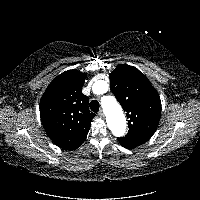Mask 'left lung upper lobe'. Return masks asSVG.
Listing matches in <instances>:
<instances>
[{
    "label": "left lung upper lobe",
    "mask_w": 200,
    "mask_h": 200,
    "mask_svg": "<svg viewBox=\"0 0 200 200\" xmlns=\"http://www.w3.org/2000/svg\"><path fill=\"white\" fill-rule=\"evenodd\" d=\"M113 94L126 112L129 131L119 143L125 148L144 144L155 132L161 115L158 92L137 68L120 64L109 75Z\"/></svg>",
    "instance_id": "5c2ea615"
}]
</instances>
